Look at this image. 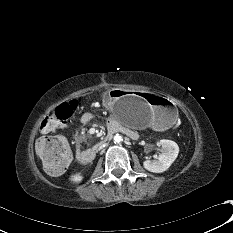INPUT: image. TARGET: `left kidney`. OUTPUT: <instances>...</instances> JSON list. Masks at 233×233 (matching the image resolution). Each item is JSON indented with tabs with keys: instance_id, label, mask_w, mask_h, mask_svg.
<instances>
[{
	"instance_id": "1",
	"label": "left kidney",
	"mask_w": 233,
	"mask_h": 233,
	"mask_svg": "<svg viewBox=\"0 0 233 233\" xmlns=\"http://www.w3.org/2000/svg\"><path fill=\"white\" fill-rule=\"evenodd\" d=\"M161 146V153L157 160H146L143 166L146 170L153 173H161L166 171L175 161L179 153V147L176 142L172 140L162 139L158 142Z\"/></svg>"
}]
</instances>
